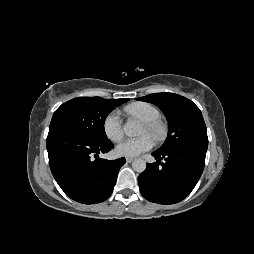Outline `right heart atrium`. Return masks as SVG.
Segmentation results:
<instances>
[{
    "mask_svg": "<svg viewBox=\"0 0 254 254\" xmlns=\"http://www.w3.org/2000/svg\"><path fill=\"white\" fill-rule=\"evenodd\" d=\"M103 131L108 139L118 142L122 139L124 130L121 115L118 111H111L103 120Z\"/></svg>",
    "mask_w": 254,
    "mask_h": 254,
    "instance_id": "right-heart-atrium-1",
    "label": "right heart atrium"
}]
</instances>
